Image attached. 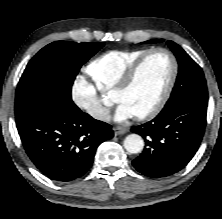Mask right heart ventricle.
Here are the masks:
<instances>
[{"label": "right heart ventricle", "mask_w": 222, "mask_h": 219, "mask_svg": "<svg viewBox=\"0 0 222 219\" xmlns=\"http://www.w3.org/2000/svg\"><path fill=\"white\" fill-rule=\"evenodd\" d=\"M148 48L111 50L102 53L85 68L95 86L102 92H111L128 67Z\"/></svg>", "instance_id": "right-heart-ventricle-1"}]
</instances>
